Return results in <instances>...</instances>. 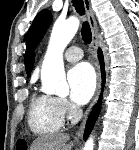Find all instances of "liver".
<instances>
[{
  "label": "liver",
  "instance_id": "liver-1",
  "mask_svg": "<svg viewBox=\"0 0 139 150\" xmlns=\"http://www.w3.org/2000/svg\"><path fill=\"white\" fill-rule=\"evenodd\" d=\"M69 140V135L57 133L49 134L38 137L32 143L30 150H69L73 143L66 145V142Z\"/></svg>",
  "mask_w": 139,
  "mask_h": 150
}]
</instances>
